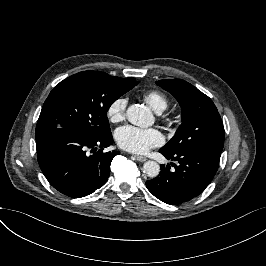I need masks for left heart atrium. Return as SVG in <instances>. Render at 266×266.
<instances>
[{"mask_svg": "<svg viewBox=\"0 0 266 266\" xmlns=\"http://www.w3.org/2000/svg\"><path fill=\"white\" fill-rule=\"evenodd\" d=\"M115 138L121 148L133 153H144L164 142V136L158 129L133 125H124L117 128Z\"/></svg>", "mask_w": 266, "mask_h": 266, "instance_id": "obj_1", "label": "left heart atrium"}]
</instances>
